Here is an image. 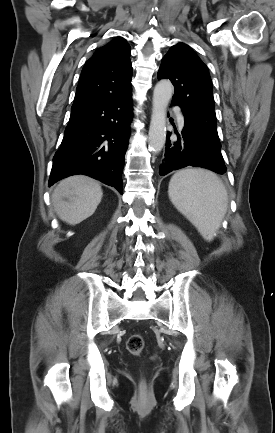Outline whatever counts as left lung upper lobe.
Returning a JSON list of instances; mask_svg holds the SVG:
<instances>
[{
  "label": "left lung upper lobe",
  "instance_id": "left-lung-upper-lobe-1",
  "mask_svg": "<svg viewBox=\"0 0 275 433\" xmlns=\"http://www.w3.org/2000/svg\"><path fill=\"white\" fill-rule=\"evenodd\" d=\"M158 78H169L174 85L173 101L180 104L185 114L184 126L193 128L210 140L224 162L207 66L188 45L178 43L163 57Z\"/></svg>",
  "mask_w": 275,
  "mask_h": 433
}]
</instances>
